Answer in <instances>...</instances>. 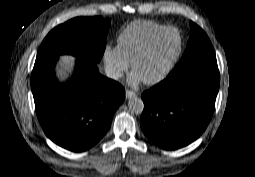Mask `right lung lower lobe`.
<instances>
[{
  "label": "right lung lower lobe",
  "instance_id": "obj_1",
  "mask_svg": "<svg viewBox=\"0 0 255 177\" xmlns=\"http://www.w3.org/2000/svg\"><path fill=\"white\" fill-rule=\"evenodd\" d=\"M56 60L35 61L31 88L37 117L53 142L74 152L84 151L106 134L125 90L102 76L96 64L80 59L73 80L59 86L54 77Z\"/></svg>",
  "mask_w": 255,
  "mask_h": 177
}]
</instances>
